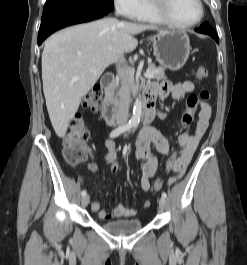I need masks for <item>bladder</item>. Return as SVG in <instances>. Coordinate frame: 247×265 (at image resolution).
<instances>
[{"mask_svg":"<svg viewBox=\"0 0 247 265\" xmlns=\"http://www.w3.org/2000/svg\"><path fill=\"white\" fill-rule=\"evenodd\" d=\"M143 226L142 221L140 219H121L104 222L102 224V228L107 232L123 236L134 233L141 229Z\"/></svg>","mask_w":247,"mask_h":265,"instance_id":"obj_1","label":"bladder"}]
</instances>
